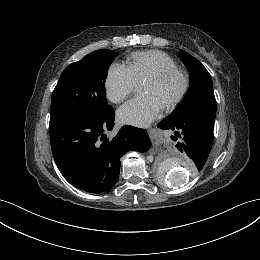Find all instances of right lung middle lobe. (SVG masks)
I'll return each instance as SVG.
<instances>
[{
    "mask_svg": "<svg viewBox=\"0 0 260 260\" xmlns=\"http://www.w3.org/2000/svg\"><path fill=\"white\" fill-rule=\"evenodd\" d=\"M117 55L111 50H97L64 69L52 93L50 123L98 120L113 110L106 100L105 81Z\"/></svg>",
    "mask_w": 260,
    "mask_h": 260,
    "instance_id": "right-lung-middle-lobe-1",
    "label": "right lung middle lobe"
}]
</instances>
